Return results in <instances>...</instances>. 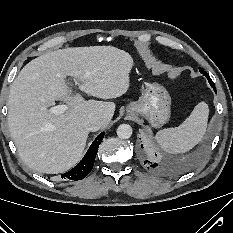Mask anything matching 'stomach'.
<instances>
[{
    "label": "stomach",
    "mask_w": 233,
    "mask_h": 233,
    "mask_svg": "<svg viewBox=\"0 0 233 233\" xmlns=\"http://www.w3.org/2000/svg\"><path fill=\"white\" fill-rule=\"evenodd\" d=\"M171 97L168 91L157 82H146L142 96L130 103L126 111L129 115L145 117L153 127H160L170 117Z\"/></svg>",
    "instance_id": "1"
}]
</instances>
